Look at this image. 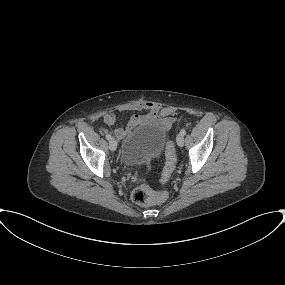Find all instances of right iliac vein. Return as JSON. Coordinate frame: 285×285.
I'll list each match as a JSON object with an SVG mask.
<instances>
[{"instance_id":"obj_1","label":"right iliac vein","mask_w":285,"mask_h":285,"mask_svg":"<svg viewBox=\"0 0 285 285\" xmlns=\"http://www.w3.org/2000/svg\"><path fill=\"white\" fill-rule=\"evenodd\" d=\"M109 149L115 151L117 149V142L114 139L109 141Z\"/></svg>"}]
</instances>
